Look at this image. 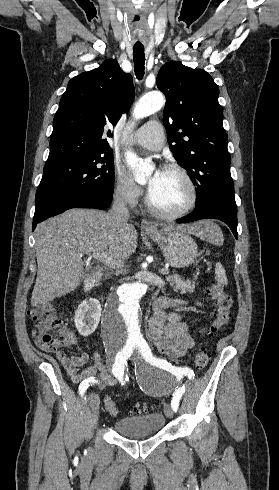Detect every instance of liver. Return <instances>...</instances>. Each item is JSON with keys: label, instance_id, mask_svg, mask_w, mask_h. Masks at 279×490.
I'll list each match as a JSON object with an SVG mask.
<instances>
[{"label": "liver", "instance_id": "liver-1", "mask_svg": "<svg viewBox=\"0 0 279 490\" xmlns=\"http://www.w3.org/2000/svg\"><path fill=\"white\" fill-rule=\"evenodd\" d=\"M201 236L203 222L187 226H164ZM37 278L32 306L48 304L54 298L76 290L85 278L84 254L94 258L107 254L115 264L128 260L137 248L134 226L115 224L110 214L100 210H67L61 216L38 224L35 230Z\"/></svg>", "mask_w": 279, "mask_h": 490}]
</instances>
